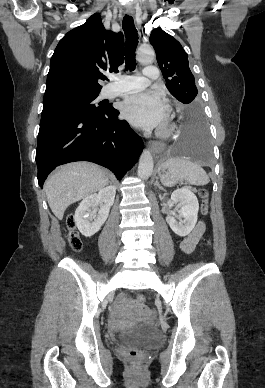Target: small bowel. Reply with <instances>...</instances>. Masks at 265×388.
I'll use <instances>...</instances> for the list:
<instances>
[{
  "label": "small bowel",
  "mask_w": 265,
  "mask_h": 388,
  "mask_svg": "<svg viewBox=\"0 0 265 388\" xmlns=\"http://www.w3.org/2000/svg\"><path fill=\"white\" fill-rule=\"evenodd\" d=\"M205 231V225L203 222H198L191 233L182 241L181 250L190 254L195 250L197 243Z\"/></svg>",
  "instance_id": "1"
}]
</instances>
